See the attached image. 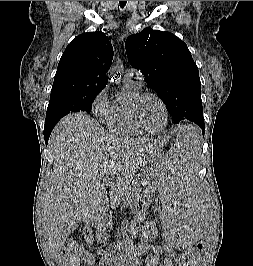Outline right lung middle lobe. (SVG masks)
Wrapping results in <instances>:
<instances>
[{"label":"right lung middle lobe","instance_id":"obj_1","mask_svg":"<svg viewBox=\"0 0 253 266\" xmlns=\"http://www.w3.org/2000/svg\"><path fill=\"white\" fill-rule=\"evenodd\" d=\"M100 92L50 97L45 123L58 122L63 116L71 112L84 111L90 113L92 103Z\"/></svg>","mask_w":253,"mask_h":266}]
</instances>
